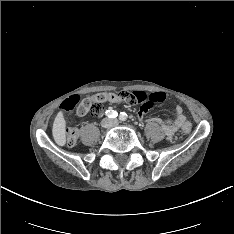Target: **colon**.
I'll list each match as a JSON object with an SVG mask.
<instances>
[{
    "label": "colon",
    "instance_id": "colon-1",
    "mask_svg": "<svg viewBox=\"0 0 234 234\" xmlns=\"http://www.w3.org/2000/svg\"><path fill=\"white\" fill-rule=\"evenodd\" d=\"M163 92H154L147 94L143 91H116V92H99L91 96L81 97L72 96L63 103V109L72 111L76 109L79 116L91 114L98 116L102 113L105 103H127L129 105H141L143 108L150 109L155 103L165 100ZM191 124L186 122L182 131L189 133ZM79 138V132L76 128H69L66 132V143L68 146H74Z\"/></svg>",
    "mask_w": 234,
    "mask_h": 234
}]
</instances>
